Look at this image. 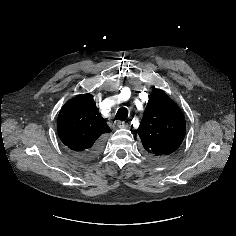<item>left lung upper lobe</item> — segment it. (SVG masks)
<instances>
[{
	"label": "left lung upper lobe",
	"mask_w": 236,
	"mask_h": 236,
	"mask_svg": "<svg viewBox=\"0 0 236 236\" xmlns=\"http://www.w3.org/2000/svg\"><path fill=\"white\" fill-rule=\"evenodd\" d=\"M185 129L177 104L164 91L154 90L137 130L146 154L154 160L166 159L181 145Z\"/></svg>",
	"instance_id": "obj_1"
}]
</instances>
